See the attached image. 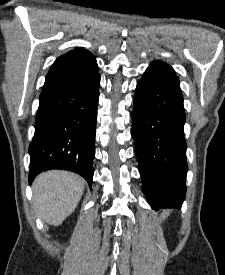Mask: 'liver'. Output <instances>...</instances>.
<instances>
[{
  "label": "liver",
  "instance_id": "liver-1",
  "mask_svg": "<svg viewBox=\"0 0 225 275\" xmlns=\"http://www.w3.org/2000/svg\"><path fill=\"white\" fill-rule=\"evenodd\" d=\"M85 180L68 171L51 170L41 173L33 182V199L37 214L46 223L59 226L75 210Z\"/></svg>",
  "mask_w": 225,
  "mask_h": 275
}]
</instances>
